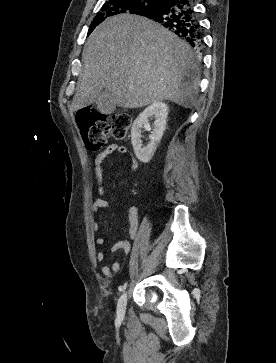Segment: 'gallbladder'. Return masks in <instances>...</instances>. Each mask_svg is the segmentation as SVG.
<instances>
[{"mask_svg": "<svg viewBox=\"0 0 276 363\" xmlns=\"http://www.w3.org/2000/svg\"><path fill=\"white\" fill-rule=\"evenodd\" d=\"M97 109L102 113L109 115L116 110V104L113 102L110 93L103 90L100 98L96 101Z\"/></svg>", "mask_w": 276, "mask_h": 363, "instance_id": "gallbladder-1", "label": "gallbladder"}]
</instances>
